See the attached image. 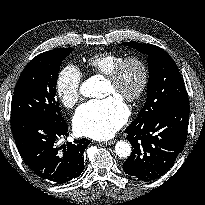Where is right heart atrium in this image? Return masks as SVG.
I'll use <instances>...</instances> for the list:
<instances>
[{
  "label": "right heart atrium",
  "instance_id": "d8ad5b80",
  "mask_svg": "<svg viewBox=\"0 0 205 205\" xmlns=\"http://www.w3.org/2000/svg\"><path fill=\"white\" fill-rule=\"evenodd\" d=\"M82 74L73 65L64 67L58 74L55 83L57 98L66 108H72L80 100Z\"/></svg>",
  "mask_w": 205,
  "mask_h": 205
}]
</instances>
